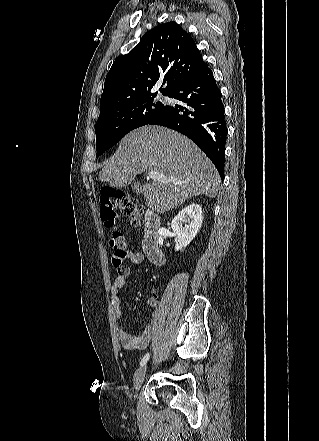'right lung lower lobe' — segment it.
Instances as JSON below:
<instances>
[{
    "instance_id": "1",
    "label": "right lung lower lobe",
    "mask_w": 319,
    "mask_h": 441,
    "mask_svg": "<svg viewBox=\"0 0 319 441\" xmlns=\"http://www.w3.org/2000/svg\"><path fill=\"white\" fill-rule=\"evenodd\" d=\"M186 106H165L150 124L174 129L195 142L224 179L227 126L221 93L207 64L185 77L169 94Z\"/></svg>"
}]
</instances>
